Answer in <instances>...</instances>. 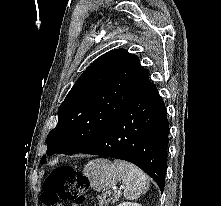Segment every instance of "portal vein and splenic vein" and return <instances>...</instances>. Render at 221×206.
Returning a JSON list of instances; mask_svg holds the SVG:
<instances>
[{
	"mask_svg": "<svg viewBox=\"0 0 221 206\" xmlns=\"http://www.w3.org/2000/svg\"><path fill=\"white\" fill-rule=\"evenodd\" d=\"M108 195H111V191H108Z\"/></svg>",
	"mask_w": 221,
	"mask_h": 206,
	"instance_id": "1",
	"label": "portal vein and splenic vein"
}]
</instances>
